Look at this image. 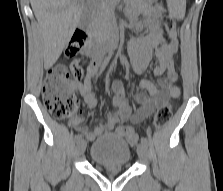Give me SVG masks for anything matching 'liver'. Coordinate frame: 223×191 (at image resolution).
Instances as JSON below:
<instances>
[{
  "instance_id": "obj_1",
  "label": "liver",
  "mask_w": 223,
  "mask_h": 191,
  "mask_svg": "<svg viewBox=\"0 0 223 191\" xmlns=\"http://www.w3.org/2000/svg\"><path fill=\"white\" fill-rule=\"evenodd\" d=\"M42 34L44 67L49 69L69 43L84 10V0H30Z\"/></svg>"
}]
</instances>
